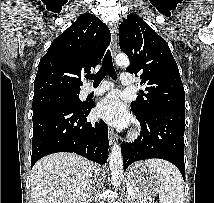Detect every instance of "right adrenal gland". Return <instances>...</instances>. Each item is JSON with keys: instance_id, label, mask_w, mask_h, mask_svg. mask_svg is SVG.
Listing matches in <instances>:
<instances>
[{"instance_id": "2a0ac1e0", "label": "right adrenal gland", "mask_w": 214, "mask_h": 203, "mask_svg": "<svg viewBox=\"0 0 214 203\" xmlns=\"http://www.w3.org/2000/svg\"><path fill=\"white\" fill-rule=\"evenodd\" d=\"M92 200H93V199L91 198L90 203H92Z\"/></svg>"}]
</instances>
